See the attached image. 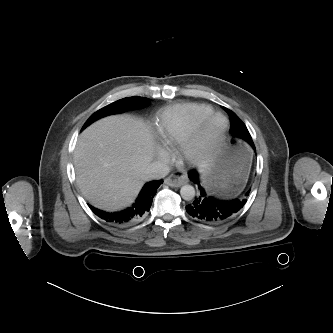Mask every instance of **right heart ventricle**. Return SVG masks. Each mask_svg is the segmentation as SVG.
<instances>
[{"instance_id": "obj_1", "label": "right heart ventricle", "mask_w": 333, "mask_h": 333, "mask_svg": "<svg viewBox=\"0 0 333 333\" xmlns=\"http://www.w3.org/2000/svg\"><path fill=\"white\" fill-rule=\"evenodd\" d=\"M213 112L204 103H184L164 109L157 120L156 133L166 148H175L183 143L193 125Z\"/></svg>"}]
</instances>
